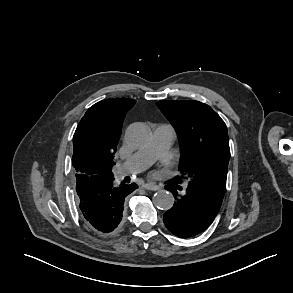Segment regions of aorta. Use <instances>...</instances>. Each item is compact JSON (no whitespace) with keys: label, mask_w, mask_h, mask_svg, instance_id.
Listing matches in <instances>:
<instances>
[{"label":"aorta","mask_w":293,"mask_h":293,"mask_svg":"<svg viewBox=\"0 0 293 293\" xmlns=\"http://www.w3.org/2000/svg\"><path fill=\"white\" fill-rule=\"evenodd\" d=\"M150 138L149 128L142 124L136 123L132 124L126 133V139L130 146L139 148L145 146ZM153 202L161 210H169L174 204L173 195L165 190L155 193L153 196Z\"/></svg>","instance_id":"aorta-1"}]
</instances>
